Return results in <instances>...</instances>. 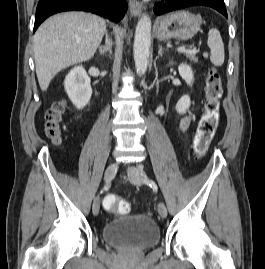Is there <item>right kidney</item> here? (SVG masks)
Segmentation results:
<instances>
[{"mask_svg": "<svg viewBox=\"0 0 265 269\" xmlns=\"http://www.w3.org/2000/svg\"><path fill=\"white\" fill-rule=\"evenodd\" d=\"M65 91L77 109H83L90 101L92 88L90 78L83 66L70 70L64 81Z\"/></svg>", "mask_w": 265, "mask_h": 269, "instance_id": "right-kidney-1", "label": "right kidney"}]
</instances>
